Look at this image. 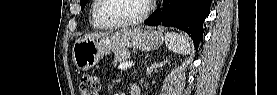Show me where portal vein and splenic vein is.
<instances>
[{
    "label": "portal vein and splenic vein",
    "instance_id": "1",
    "mask_svg": "<svg viewBox=\"0 0 277 95\" xmlns=\"http://www.w3.org/2000/svg\"><path fill=\"white\" fill-rule=\"evenodd\" d=\"M134 65V63L132 61L129 62H123L118 66V69L124 70L127 68H131Z\"/></svg>",
    "mask_w": 277,
    "mask_h": 95
}]
</instances>
